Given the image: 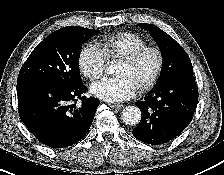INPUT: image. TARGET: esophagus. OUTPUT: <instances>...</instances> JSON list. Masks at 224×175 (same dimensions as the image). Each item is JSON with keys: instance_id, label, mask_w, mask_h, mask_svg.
Masks as SVG:
<instances>
[{"instance_id": "1", "label": "esophagus", "mask_w": 224, "mask_h": 175, "mask_svg": "<svg viewBox=\"0 0 224 175\" xmlns=\"http://www.w3.org/2000/svg\"><path fill=\"white\" fill-rule=\"evenodd\" d=\"M109 106L113 109H122L124 107V105L116 103H110Z\"/></svg>"}]
</instances>
